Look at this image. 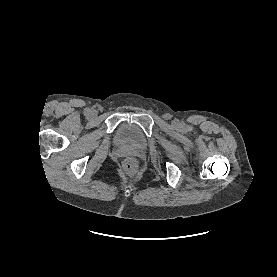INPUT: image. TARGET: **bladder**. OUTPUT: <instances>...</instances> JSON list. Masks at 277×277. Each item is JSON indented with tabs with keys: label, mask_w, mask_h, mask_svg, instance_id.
Instances as JSON below:
<instances>
[{
	"label": "bladder",
	"mask_w": 277,
	"mask_h": 277,
	"mask_svg": "<svg viewBox=\"0 0 277 277\" xmlns=\"http://www.w3.org/2000/svg\"><path fill=\"white\" fill-rule=\"evenodd\" d=\"M116 140L119 144L132 148H143L147 143L144 132L133 123L121 124L116 132Z\"/></svg>",
	"instance_id": "bladder-1"
}]
</instances>
